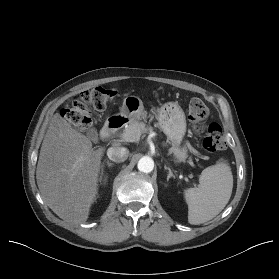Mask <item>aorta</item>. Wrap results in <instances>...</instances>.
<instances>
[{"label":"aorta","mask_w":279,"mask_h":279,"mask_svg":"<svg viewBox=\"0 0 279 279\" xmlns=\"http://www.w3.org/2000/svg\"><path fill=\"white\" fill-rule=\"evenodd\" d=\"M138 170L144 173H149L154 169V161L148 156L142 157L137 164Z\"/></svg>","instance_id":"1"}]
</instances>
